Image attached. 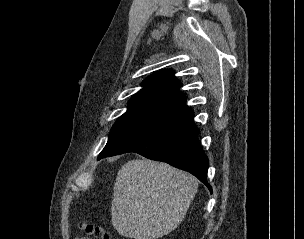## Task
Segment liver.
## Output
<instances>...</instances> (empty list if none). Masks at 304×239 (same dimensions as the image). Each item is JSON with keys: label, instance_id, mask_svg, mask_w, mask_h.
Instances as JSON below:
<instances>
[{"label": "liver", "instance_id": "1", "mask_svg": "<svg viewBox=\"0 0 304 239\" xmlns=\"http://www.w3.org/2000/svg\"><path fill=\"white\" fill-rule=\"evenodd\" d=\"M197 187L193 175L169 164L146 159L128 161L114 183L112 225L127 238L167 235L184 219Z\"/></svg>", "mask_w": 304, "mask_h": 239}]
</instances>
